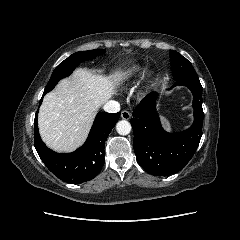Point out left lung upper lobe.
Returning a JSON list of instances; mask_svg holds the SVG:
<instances>
[{
    "label": "left lung upper lobe",
    "instance_id": "left-lung-upper-lobe-1",
    "mask_svg": "<svg viewBox=\"0 0 240 240\" xmlns=\"http://www.w3.org/2000/svg\"><path fill=\"white\" fill-rule=\"evenodd\" d=\"M171 67L176 81H199L192 64L176 51H170Z\"/></svg>",
    "mask_w": 240,
    "mask_h": 240
}]
</instances>
